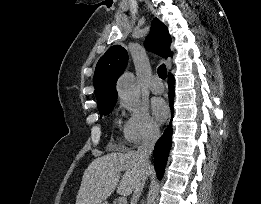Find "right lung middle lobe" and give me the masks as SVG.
Returning <instances> with one entry per match:
<instances>
[{
    "mask_svg": "<svg viewBox=\"0 0 261 204\" xmlns=\"http://www.w3.org/2000/svg\"><path fill=\"white\" fill-rule=\"evenodd\" d=\"M115 104H116V101L98 105V109H99L100 114L101 115L109 114L113 110Z\"/></svg>",
    "mask_w": 261,
    "mask_h": 204,
    "instance_id": "obj_1",
    "label": "right lung middle lobe"
}]
</instances>
